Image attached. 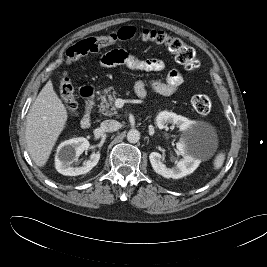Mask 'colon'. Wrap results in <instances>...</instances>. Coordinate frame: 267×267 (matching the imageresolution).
Segmentation results:
<instances>
[{"label":"colon","instance_id":"colon-1","mask_svg":"<svg viewBox=\"0 0 267 267\" xmlns=\"http://www.w3.org/2000/svg\"><path fill=\"white\" fill-rule=\"evenodd\" d=\"M132 39H139L143 42L165 47L187 71H194L198 67L199 63L194 49L182 40L169 36L163 31L144 30L137 32L135 28L129 26L122 27L117 32L109 35L82 39L67 49L66 63L71 64L88 53L98 52L100 49L116 42ZM59 93L67 111L71 115H75L78 105L75 99L74 88L67 72H63L61 76ZM191 103L195 111L200 114L209 113L212 107L211 99L205 94L193 96Z\"/></svg>","mask_w":267,"mask_h":267}]
</instances>
